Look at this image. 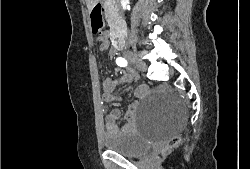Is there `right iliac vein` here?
I'll return each instance as SVG.
<instances>
[{
    "mask_svg": "<svg viewBox=\"0 0 250 169\" xmlns=\"http://www.w3.org/2000/svg\"><path fill=\"white\" fill-rule=\"evenodd\" d=\"M128 60L140 70H144L146 68V63L143 61H140L139 58L135 54L129 55Z\"/></svg>",
    "mask_w": 250,
    "mask_h": 169,
    "instance_id": "obj_1",
    "label": "right iliac vein"
}]
</instances>
